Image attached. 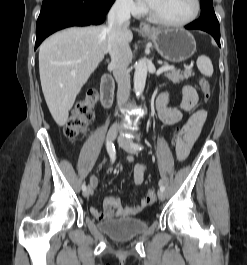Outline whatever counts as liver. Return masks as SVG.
Listing matches in <instances>:
<instances>
[{
  "label": "liver",
  "mask_w": 247,
  "mask_h": 265,
  "mask_svg": "<svg viewBox=\"0 0 247 265\" xmlns=\"http://www.w3.org/2000/svg\"><path fill=\"white\" fill-rule=\"evenodd\" d=\"M128 42L133 33L127 29ZM108 51L107 27H73L50 36L39 48V73L49 111L64 126L82 86Z\"/></svg>",
  "instance_id": "liver-1"
}]
</instances>
